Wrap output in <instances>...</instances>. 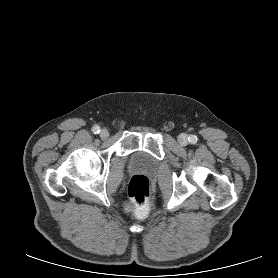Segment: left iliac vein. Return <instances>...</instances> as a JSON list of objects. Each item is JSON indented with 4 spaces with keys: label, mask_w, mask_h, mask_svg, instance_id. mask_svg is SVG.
Returning a JSON list of instances; mask_svg holds the SVG:
<instances>
[{
    "label": "left iliac vein",
    "mask_w": 278,
    "mask_h": 278,
    "mask_svg": "<svg viewBox=\"0 0 278 278\" xmlns=\"http://www.w3.org/2000/svg\"><path fill=\"white\" fill-rule=\"evenodd\" d=\"M178 141L181 145H186L188 143L187 136L185 134L179 135Z\"/></svg>",
    "instance_id": "obj_1"
}]
</instances>
